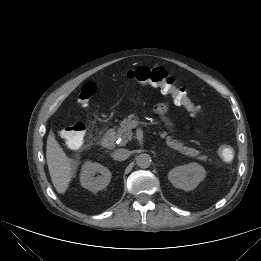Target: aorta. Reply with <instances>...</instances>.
Segmentation results:
<instances>
[{
  "label": "aorta",
  "mask_w": 261,
  "mask_h": 261,
  "mask_svg": "<svg viewBox=\"0 0 261 261\" xmlns=\"http://www.w3.org/2000/svg\"><path fill=\"white\" fill-rule=\"evenodd\" d=\"M136 164L138 167L145 169L150 167L151 165V156L147 153H141L138 156H136Z\"/></svg>",
  "instance_id": "1"
}]
</instances>
